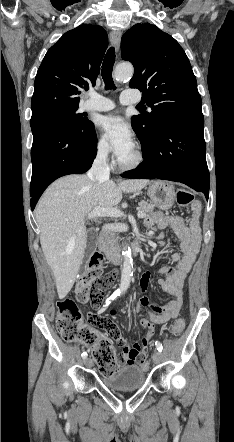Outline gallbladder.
I'll return each instance as SVG.
<instances>
[{
    "mask_svg": "<svg viewBox=\"0 0 234 442\" xmlns=\"http://www.w3.org/2000/svg\"><path fill=\"white\" fill-rule=\"evenodd\" d=\"M96 248V240L94 237L93 233H90L88 238H87V244H86V248H85V252H84V257H83V261L80 267V271H84L86 263L88 261V259L90 258V256L92 255V253L94 252Z\"/></svg>",
    "mask_w": 234,
    "mask_h": 442,
    "instance_id": "1",
    "label": "gallbladder"
}]
</instances>
